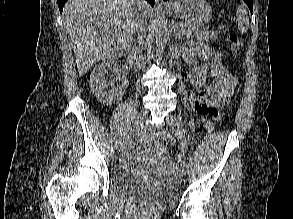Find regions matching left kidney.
Instances as JSON below:
<instances>
[{
  "label": "left kidney",
  "instance_id": "left-kidney-1",
  "mask_svg": "<svg viewBox=\"0 0 293 219\" xmlns=\"http://www.w3.org/2000/svg\"><path fill=\"white\" fill-rule=\"evenodd\" d=\"M207 65L195 67L190 75V82L195 86H201L206 83L207 78Z\"/></svg>",
  "mask_w": 293,
  "mask_h": 219
}]
</instances>
